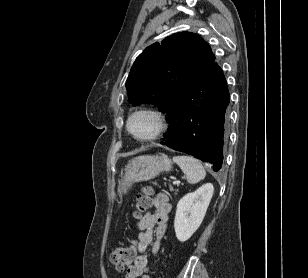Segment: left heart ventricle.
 I'll return each mask as SVG.
<instances>
[{
    "mask_svg": "<svg viewBox=\"0 0 308 278\" xmlns=\"http://www.w3.org/2000/svg\"><path fill=\"white\" fill-rule=\"evenodd\" d=\"M130 127L138 137H147L155 130L156 121L151 115L139 114L132 119Z\"/></svg>",
    "mask_w": 308,
    "mask_h": 278,
    "instance_id": "b2bd125f",
    "label": "left heart ventricle"
}]
</instances>
